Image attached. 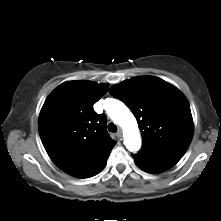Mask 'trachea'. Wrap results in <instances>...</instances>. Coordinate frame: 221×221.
<instances>
[{
  "label": "trachea",
  "instance_id": "3493384b",
  "mask_svg": "<svg viewBox=\"0 0 221 221\" xmlns=\"http://www.w3.org/2000/svg\"><path fill=\"white\" fill-rule=\"evenodd\" d=\"M108 130H109V132L115 133L117 131V126L114 123H109Z\"/></svg>",
  "mask_w": 221,
  "mask_h": 221
}]
</instances>
